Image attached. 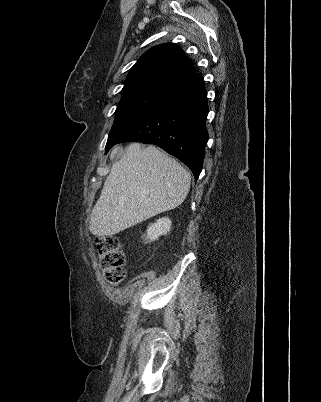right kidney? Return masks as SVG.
I'll use <instances>...</instances> for the list:
<instances>
[{
  "instance_id": "obj_1",
  "label": "right kidney",
  "mask_w": 321,
  "mask_h": 402,
  "mask_svg": "<svg viewBox=\"0 0 321 402\" xmlns=\"http://www.w3.org/2000/svg\"><path fill=\"white\" fill-rule=\"evenodd\" d=\"M171 228V220L169 218H160L155 223L147 228L145 240L152 242L158 239L159 236L166 235Z\"/></svg>"
}]
</instances>
